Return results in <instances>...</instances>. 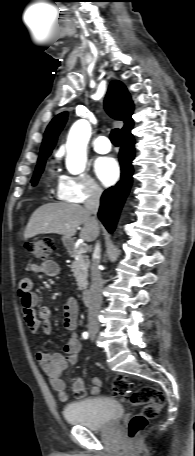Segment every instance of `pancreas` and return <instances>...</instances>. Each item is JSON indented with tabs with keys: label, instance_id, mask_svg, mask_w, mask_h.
Instances as JSON below:
<instances>
[{
	"label": "pancreas",
	"instance_id": "cf45deb5",
	"mask_svg": "<svg viewBox=\"0 0 195 456\" xmlns=\"http://www.w3.org/2000/svg\"><path fill=\"white\" fill-rule=\"evenodd\" d=\"M70 255L74 258L71 266L73 268L74 277L76 278L79 290L85 291L88 285V268L89 258L82 252L70 251Z\"/></svg>",
	"mask_w": 195,
	"mask_h": 456
}]
</instances>
